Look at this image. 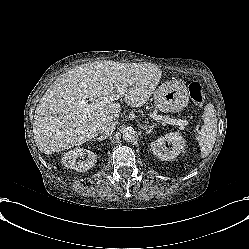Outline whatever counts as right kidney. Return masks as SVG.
<instances>
[{"mask_svg": "<svg viewBox=\"0 0 249 249\" xmlns=\"http://www.w3.org/2000/svg\"><path fill=\"white\" fill-rule=\"evenodd\" d=\"M77 158H78V156L75 154L67 155V156L63 157V162L68 164V165H71L76 161ZM92 166H93V164L91 163L90 167H92Z\"/></svg>", "mask_w": 249, "mask_h": 249, "instance_id": "obj_1", "label": "right kidney"}]
</instances>
